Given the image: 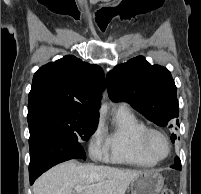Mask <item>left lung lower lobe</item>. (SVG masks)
Instances as JSON below:
<instances>
[{
	"instance_id": "left-lung-lower-lobe-1",
	"label": "left lung lower lobe",
	"mask_w": 201,
	"mask_h": 194,
	"mask_svg": "<svg viewBox=\"0 0 201 194\" xmlns=\"http://www.w3.org/2000/svg\"><path fill=\"white\" fill-rule=\"evenodd\" d=\"M171 139L174 142L175 139L174 138H171ZM171 167L176 169V170H181V161L178 157L175 158L174 165Z\"/></svg>"
}]
</instances>
